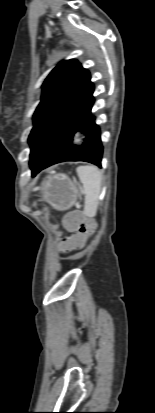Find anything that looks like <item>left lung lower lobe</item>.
Returning a JSON list of instances; mask_svg holds the SVG:
<instances>
[{
  "label": "left lung lower lobe",
  "instance_id": "obj_1",
  "mask_svg": "<svg viewBox=\"0 0 155 413\" xmlns=\"http://www.w3.org/2000/svg\"><path fill=\"white\" fill-rule=\"evenodd\" d=\"M93 103L92 98L73 129L62 132L57 139L59 150L49 160L32 170L33 177L42 169L64 161H86L101 167L103 147L99 127L95 124V118L91 113ZM77 131H80L84 137L80 146L73 144L74 134Z\"/></svg>",
  "mask_w": 155,
  "mask_h": 413
}]
</instances>
